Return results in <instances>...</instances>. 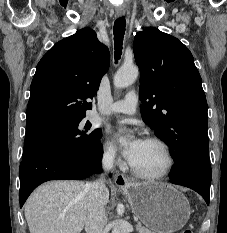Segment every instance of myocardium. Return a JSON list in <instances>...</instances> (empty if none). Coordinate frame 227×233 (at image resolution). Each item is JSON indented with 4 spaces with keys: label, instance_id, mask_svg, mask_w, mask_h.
I'll list each match as a JSON object with an SVG mask.
<instances>
[{
    "label": "myocardium",
    "instance_id": "f54148a6",
    "mask_svg": "<svg viewBox=\"0 0 227 233\" xmlns=\"http://www.w3.org/2000/svg\"><path fill=\"white\" fill-rule=\"evenodd\" d=\"M144 141L157 144L158 146H160L162 148V150L164 151L166 158H167L166 167L159 173L150 174V173H145V172H142V171L136 169L129 162V168H130L131 172L135 176L142 178V179H146V180H158V179H162V178L168 176L170 174V172L172 171V169L174 167V163H175L173 153H172L170 147L168 146V144L165 141H163L162 139L157 138V137H148Z\"/></svg>",
    "mask_w": 227,
    "mask_h": 233
}]
</instances>
